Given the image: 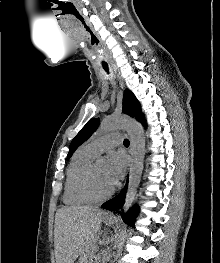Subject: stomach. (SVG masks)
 Returning <instances> with one entry per match:
<instances>
[{
	"label": "stomach",
	"mask_w": 220,
	"mask_h": 263,
	"mask_svg": "<svg viewBox=\"0 0 220 263\" xmlns=\"http://www.w3.org/2000/svg\"><path fill=\"white\" fill-rule=\"evenodd\" d=\"M104 222H105L106 224H111V223H112V219H110V218H104Z\"/></svg>",
	"instance_id": "obj_1"
}]
</instances>
